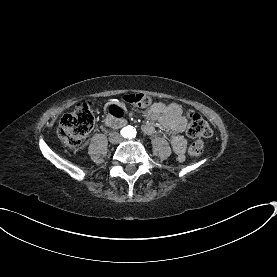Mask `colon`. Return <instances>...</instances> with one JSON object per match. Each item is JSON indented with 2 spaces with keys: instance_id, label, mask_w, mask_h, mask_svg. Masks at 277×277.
Returning a JSON list of instances; mask_svg holds the SVG:
<instances>
[{
  "instance_id": "obj_1",
  "label": "colon",
  "mask_w": 277,
  "mask_h": 277,
  "mask_svg": "<svg viewBox=\"0 0 277 277\" xmlns=\"http://www.w3.org/2000/svg\"><path fill=\"white\" fill-rule=\"evenodd\" d=\"M121 101L137 108L148 107L152 104L151 97L142 94H125L121 96ZM90 105L89 99H80L74 112L62 116L57 128V135L67 149L78 147L92 129L94 114L89 108ZM187 118L188 135L197 139L190 145L188 153L190 157L196 158L203 153V140L211 136L212 129L198 113L189 112Z\"/></svg>"
}]
</instances>
